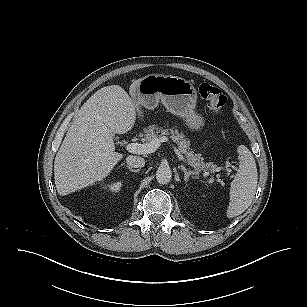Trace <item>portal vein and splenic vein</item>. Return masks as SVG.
<instances>
[{
  "mask_svg": "<svg viewBox=\"0 0 307 307\" xmlns=\"http://www.w3.org/2000/svg\"><path fill=\"white\" fill-rule=\"evenodd\" d=\"M163 142H169V139L166 136H161V137H155L153 138L150 142L148 143H129L126 146V149L128 152L134 153V154H150L155 152L160 146L161 143ZM173 151L177 155L180 161H183L184 163H187L186 159L184 156L180 153V151L174 146L171 145ZM231 167L234 170H237V167L234 166L233 164H227L226 168Z\"/></svg>",
  "mask_w": 307,
  "mask_h": 307,
  "instance_id": "1",
  "label": "portal vein and splenic vein"
}]
</instances>
